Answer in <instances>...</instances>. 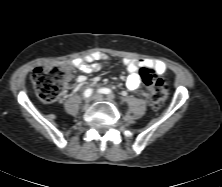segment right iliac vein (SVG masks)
<instances>
[{
  "instance_id": "right-iliac-vein-1",
  "label": "right iliac vein",
  "mask_w": 222,
  "mask_h": 187,
  "mask_svg": "<svg viewBox=\"0 0 222 187\" xmlns=\"http://www.w3.org/2000/svg\"><path fill=\"white\" fill-rule=\"evenodd\" d=\"M92 100H94V96H91V97L86 98V99H85V102H86V103H89V102H91Z\"/></svg>"
}]
</instances>
